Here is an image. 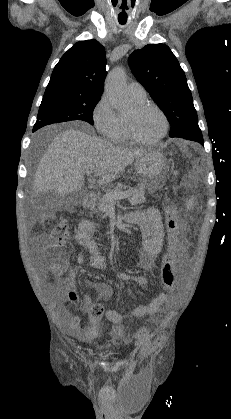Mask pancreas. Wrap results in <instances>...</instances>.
I'll return each instance as SVG.
<instances>
[{
  "instance_id": "pancreas-1",
  "label": "pancreas",
  "mask_w": 231,
  "mask_h": 419,
  "mask_svg": "<svg viewBox=\"0 0 231 419\" xmlns=\"http://www.w3.org/2000/svg\"><path fill=\"white\" fill-rule=\"evenodd\" d=\"M130 191L131 195L129 196V203L131 205H137L142 204L146 202L145 196H144V190L130 187L128 189ZM124 192L121 188H114L113 190H109L104 194L103 196L98 197L97 200V210L94 208L92 211L95 212H101L105 213L108 208L114 203V200L110 197L111 194Z\"/></svg>"
}]
</instances>
